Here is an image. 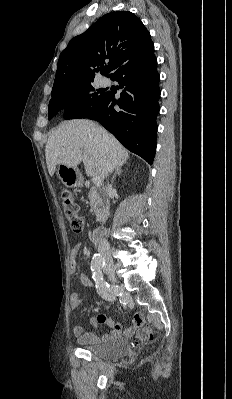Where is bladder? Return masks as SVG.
<instances>
[{
    "label": "bladder",
    "instance_id": "1",
    "mask_svg": "<svg viewBox=\"0 0 232 399\" xmlns=\"http://www.w3.org/2000/svg\"><path fill=\"white\" fill-rule=\"evenodd\" d=\"M82 349L102 359L117 360L129 353L130 344L124 338H113L103 343L83 346Z\"/></svg>",
    "mask_w": 232,
    "mask_h": 399
}]
</instances>
